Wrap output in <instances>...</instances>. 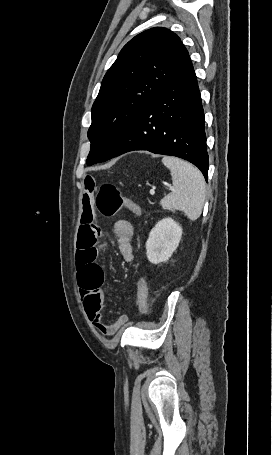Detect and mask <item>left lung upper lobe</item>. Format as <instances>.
Listing matches in <instances>:
<instances>
[{
	"mask_svg": "<svg viewBox=\"0 0 272 455\" xmlns=\"http://www.w3.org/2000/svg\"><path fill=\"white\" fill-rule=\"evenodd\" d=\"M189 64L180 38L166 28L131 39L105 74L92 106L87 164L105 161L145 106Z\"/></svg>",
	"mask_w": 272,
	"mask_h": 455,
	"instance_id": "obj_1",
	"label": "left lung upper lobe"
}]
</instances>
